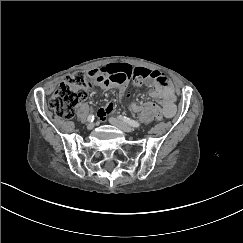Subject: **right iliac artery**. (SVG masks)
I'll list each match as a JSON object with an SVG mask.
<instances>
[{
	"label": "right iliac artery",
	"mask_w": 243,
	"mask_h": 243,
	"mask_svg": "<svg viewBox=\"0 0 243 243\" xmlns=\"http://www.w3.org/2000/svg\"><path fill=\"white\" fill-rule=\"evenodd\" d=\"M89 122H93V120H94V115L93 114H90L89 116H88V119H87Z\"/></svg>",
	"instance_id": "obj_1"
}]
</instances>
